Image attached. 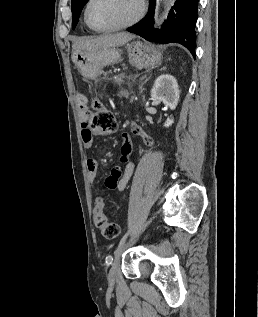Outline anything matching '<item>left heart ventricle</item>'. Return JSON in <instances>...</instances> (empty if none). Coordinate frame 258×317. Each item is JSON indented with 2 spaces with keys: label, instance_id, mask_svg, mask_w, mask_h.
I'll return each mask as SVG.
<instances>
[{
  "label": "left heart ventricle",
  "instance_id": "obj_1",
  "mask_svg": "<svg viewBox=\"0 0 258 317\" xmlns=\"http://www.w3.org/2000/svg\"><path fill=\"white\" fill-rule=\"evenodd\" d=\"M138 12L133 0H95L89 9V19L98 28H108L130 22Z\"/></svg>",
  "mask_w": 258,
  "mask_h": 317
}]
</instances>
